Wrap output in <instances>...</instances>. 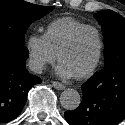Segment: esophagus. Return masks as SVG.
<instances>
[{
  "label": "esophagus",
  "instance_id": "1",
  "mask_svg": "<svg viewBox=\"0 0 125 125\" xmlns=\"http://www.w3.org/2000/svg\"><path fill=\"white\" fill-rule=\"evenodd\" d=\"M52 86L57 90H63L65 88V86L62 83L57 81H53Z\"/></svg>",
  "mask_w": 125,
  "mask_h": 125
}]
</instances>
